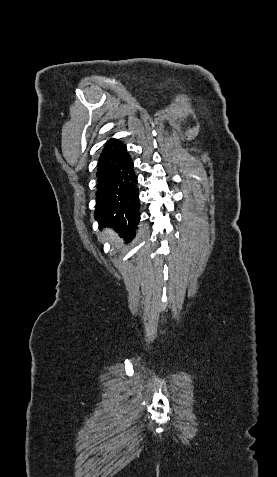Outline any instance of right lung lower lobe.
I'll use <instances>...</instances> for the list:
<instances>
[{"instance_id": "98d812e1", "label": "right lung lower lobe", "mask_w": 277, "mask_h": 477, "mask_svg": "<svg viewBox=\"0 0 277 477\" xmlns=\"http://www.w3.org/2000/svg\"><path fill=\"white\" fill-rule=\"evenodd\" d=\"M131 157L124 144L107 141L99 158L97 204L94 217L102 227H111L132 240L140 220V203Z\"/></svg>"}]
</instances>
